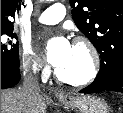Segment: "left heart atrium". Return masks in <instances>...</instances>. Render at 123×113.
Listing matches in <instances>:
<instances>
[{
    "label": "left heart atrium",
    "instance_id": "39dd6f15",
    "mask_svg": "<svg viewBox=\"0 0 123 113\" xmlns=\"http://www.w3.org/2000/svg\"><path fill=\"white\" fill-rule=\"evenodd\" d=\"M47 59L55 67L59 68L69 59L72 45L64 36H57L47 43Z\"/></svg>",
    "mask_w": 123,
    "mask_h": 113
}]
</instances>
